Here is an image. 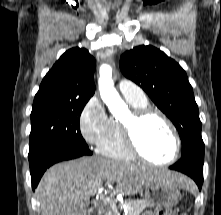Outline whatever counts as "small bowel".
<instances>
[{"mask_svg": "<svg viewBox=\"0 0 221 215\" xmlns=\"http://www.w3.org/2000/svg\"><path fill=\"white\" fill-rule=\"evenodd\" d=\"M143 215H154V213H152V212H146V213H144Z\"/></svg>", "mask_w": 221, "mask_h": 215, "instance_id": "small-bowel-1", "label": "small bowel"}]
</instances>
